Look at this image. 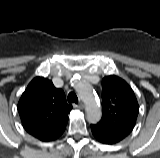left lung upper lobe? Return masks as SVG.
<instances>
[{"label": "left lung upper lobe", "mask_w": 160, "mask_h": 158, "mask_svg": "<svg viewBox=\"0 0 160 158\" xmlns=\"http://www.w3.org/2000/svg\"><path fill=\"white\" fill-rule=\"evenodd\" d=\"M102 127L127 136L135 126L139 113L136 96L127 82L118 76L102 80Z\"/></svg>", "instance_id": "left-lung-upper-lobe-1"}]
</instances>
